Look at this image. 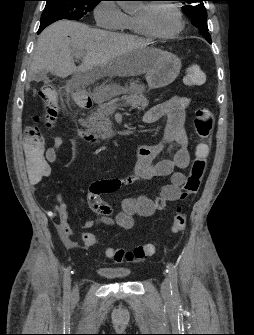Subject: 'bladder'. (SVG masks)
Wrapping results in <instances>:
<instances>
[{
  "mask_svg": "<svg viewBox=\"0 0 254 335\" xmlns=\"http://www.w3.org/2000/svg\"><path fill=\"white\" fill-rule=\"evenodd\" d=\"M97 273L112 280L126 279L130 276L129 270L113 267H99Z\"/></svg>",
  "mask_w": 254,
  "mask_h": 335,
  "instance_id": "bladder-1",
  "label": "bladder"
}]
</instances>
